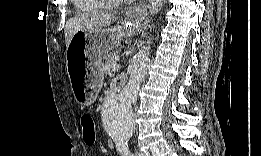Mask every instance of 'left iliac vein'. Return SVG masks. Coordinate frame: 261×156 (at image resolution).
<instances>
[{
    "label": "left iliac vein",
    "mask_w": 261,
    "mask_h": 156,
    "mask_svg": "<svg viewBox=\"0 0 261 156\" xmlns=\"http://www.w3.org/2000/svg\"><path fill=\"white\" fill-rule=\"evenodd\" d=\"M137 155H139V156H144V153H143L142 151H138V152H137Z\"/></svg>",
    "instance_id": "obj_1"
}]
</instances>
